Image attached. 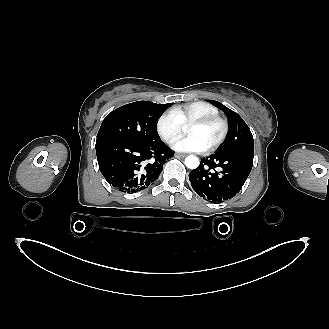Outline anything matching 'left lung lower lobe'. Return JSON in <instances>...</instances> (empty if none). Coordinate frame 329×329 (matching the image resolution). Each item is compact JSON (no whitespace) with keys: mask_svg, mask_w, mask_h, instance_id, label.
I'll use <instances>...</instances> for the list:
<instances>
[{"mask_svg":"<svg viewBox=\"0 0 329 329\" xmlns=\"http://www.w3.org/2000/svg\"><path fill=\"white\" fill-rule=\"evenodd\" d=\"M254 156L215 153L201 159L189 174L195 192L206 200L223 202L233 198L244 185L252 169Z\"/></svg>","mask_w":329,"mask_h":329,"instance_id":"1","label":"left lung lower lobe"}]
</instances>
